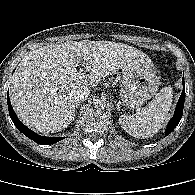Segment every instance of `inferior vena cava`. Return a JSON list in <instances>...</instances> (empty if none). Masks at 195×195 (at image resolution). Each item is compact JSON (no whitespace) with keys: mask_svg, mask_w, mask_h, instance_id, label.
Here are the masks:
<instances>
[{"mask_svg":"<svg viewBox=\"0 0 195 195\" xmlns=\"http://www.w3.org/2000/svg\"><path fill=\"white\" fill-rule=\"evenodd\" d=\"M90 90L87 87H79L73 91V99L75 103H80L89 97Z\"/></svg>","mask_w":195,"mask_h":195,"instance_id":"1","label":"inferior vena cava"}]
</instances>
